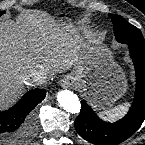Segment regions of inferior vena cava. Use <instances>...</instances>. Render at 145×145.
I'll return each instance as SVG.
<instances>
[{
  "instance_id": "obj_1",
  "label": "inferior vena cava",
  "mask_w": 145,
  "mask_h": 145,
  "mask_svg": "<svg viewBox=\"0 0 145 145\" xmlns=\"http://www.w3.org/2000/svg\"><path fill=\"white\" fill-rule=\"evenodd\" d=\"M46 75L41 73V72H33L31 73L29 76H27L24 80L25 84H37V85H41L46 81Z\"/></svg>"
}]
</instances>
